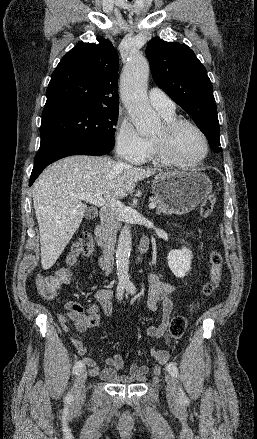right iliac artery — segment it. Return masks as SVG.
Segmentation results:
<instances>
[{"instance_id": "82829eb1", "label": "right iliac artery", "mask_w": 257, "mask_h": 439, "mask_svg": "<svg viewBox=\"0 0 257 439\" xmlns=\"http://www.w3.org/2000/svg\"><path fill=\"white\" fill-rule=\"evenodd\" d=\"M124 289H125V286H124V285H118V287H117V298H118V299H121V298H122L123 293H124ZM83 367H84V363H83V361H82V360L77 361V362L74 364V367H73V374H78V372H80V371L83 369ZM66 400H67V401H72V400H73V394H72V392H69V393L67 394V396H66Z\"/></svg>"}]
</instances>
